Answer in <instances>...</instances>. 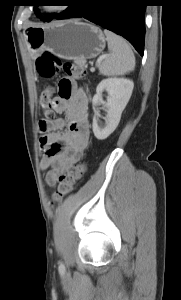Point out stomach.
I'll return each instance as SVG.
<instances>
[{
  "label": "stomach",
  "mask_w": 181,
  "mask_h": 300,
  "mask_svg": "<svg viewBox=\"0 0 181 300\" xmlns=\"http://www.w3.org/2000/svg\"><path fill=\"white\" fill-rule=\"evenodd\" d=\"M24 37L34 59L49 51L60 58L85 63L98 56L106 45L99 27L79 20L30 27L24 31Z\"/></svg>",
  "instance_id": "obj_1"
}]
</instances>
